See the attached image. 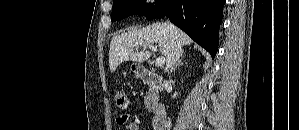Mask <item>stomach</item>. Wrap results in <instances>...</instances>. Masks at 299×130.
<instances>
[{
	"mask_svg": "<svg viewBox=\"0 0 299 130\" xmlns=\"http://www.w3.org/2000/svg\"><path fill=\"white\" fill-rule=\"evenodd\" d=\"M142 69V66L138 62H133L130 64V71L134 72L135 74L139 73Z\"/></svg>",
	"mask_w": 299,
	"mask_h": 130,
	"instance_id": "obj_1",
	"label": "stomach"
}]
</instances>
